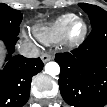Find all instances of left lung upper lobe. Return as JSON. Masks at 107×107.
I'll use <instances>...</instances> for the list:
<instances>
[{"label":"left lung upper lobe","mask_w":107,"mask_h":107,"mask_svg":"<svg viewBox=\"0 0 107 107\" xmlns=\"http://www.w3.org/2000/svg\"><path fill=\"white\" fill-rule=\"evenodd\" d=\"M79 6L89 15L92 28L107 22V12L102 8L87 3H81Z\"/></svg>","instance_id":"5c2ea615"}]
</instances>
